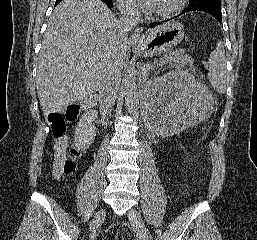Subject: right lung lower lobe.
Returning a JSON list of instances; mask_svg holds the SVG:
<instances>
[{"label": "right lung lower lobe", "instance_id": "1", "mask_svg": "<svg viewBox=\"0 0 257 240\" xmlns=\"http://www.w3.org/2000/svg\"><path fill=\"white\" fill-rule=\"evenodd\" d=\"M102 1H103L104 3H106L109 8H112V7H113L112 1H106V0H102ZM56 5H57V4H56Z\"/></svg>", "mask_w": 257, "mask_h": 240}]
</instances>
